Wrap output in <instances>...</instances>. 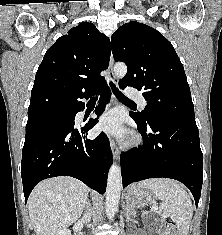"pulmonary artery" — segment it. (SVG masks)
<instances>
[{
    "label": "pulmonary artery",
    "instance_id": "e3ab8cb5",
    "mask_svg": "<svg viewBox=\"0 0 222 235\" xmlns=\"http://www.w3.org/2000/svg\"><path fill=\"white\" fill-rule=\"evenodd\" d=\"M126 94L130 97V98H132V99H134L135 101H137L140 105H141V107H145L146 106V100L144 99V97L142 96V94L139 92V91H137L136 89H133V88H128L127 90H126Z\"/></svg>",
    "mask_w": 222,
    "mask_h": 235
}]
</instances>
